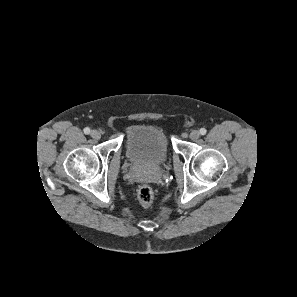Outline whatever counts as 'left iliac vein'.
<instances>
[{
	"label": "left iliac vein",
	"instance_id": "1",
	"mask_svg": "<svg viewBox=\"0 0 297 297\" xmlns=\"http://www.w3.org/2000/svg\"><path fill=\"white\" fill-rule=\"evenodd\" d=\"M190 138L192 139V140H197L198 138H199V132L197 131V130H192L191 132H190Z\"/></svg>",
	"mask_w": 297,
	"mask_h": 297
}]
</instances>
